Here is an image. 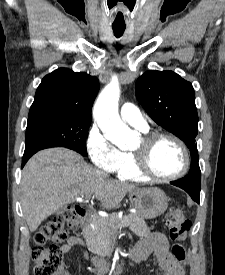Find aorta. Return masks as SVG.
Wrapping results in <instances>:
<instances>
[{
  "instance_id": "762f6f07",
  "label": "aorta",
  "mask_w": 225,
  "mask_h": 275,
  "mask_svg": "<svg viewBox=\"0 0 225 275\" xmlns=\"http://www.w3.org/2000/svg\"><path fill=\"white\" fill-rule=\"evenodd\" d=\"M119 97V83L113 80L98 96L94 105L93 115L105 137L120 149L127 150L136 143V133L119 116Z\"/></svg>"
}]
</instances>
